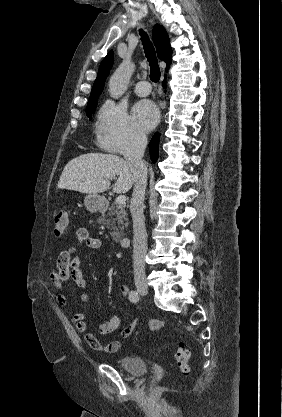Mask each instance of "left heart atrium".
<instances>
[{
    "instance_id": "39dd6f15",
    "label": "left heart atrium",
    "mask_w": 282,
    "mask_h": 417,
    "mask_svg": "<svg viewBox=\"0 0 282 417\" xmlns=\"http://www.w3.org/2000/svg\"><path fill=\"white\" fill-rule=\"evenodd\" d=\"M159 112L156 106L149 101H141L136 104L133 110L135 124L141 130H148L158 121Z\"/></svg>"
}]
</instances>
